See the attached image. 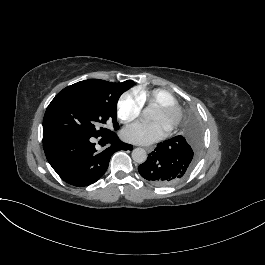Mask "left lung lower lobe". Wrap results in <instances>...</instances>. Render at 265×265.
I'll use <instances>...</instances> for the list:
<instances>
[{"mask_svg": "<svg viewBox=\"0 0 265 265\" xmlns=\"http://www.w3.org/2000/svg\"><path fill=\"white\" fill-rule=\"evenodd\" d=\"M189 136H176L157 144L147 160L139 165L140 175L158 186L171 185L188 174L200 152L199 122L191 119Z\"/></svg>", "mask_w": 265, "mask_h": 265, "instance_id": "left-lung-lower-lobe-1", "label": "left lung lower lobe"}]
</instances>
